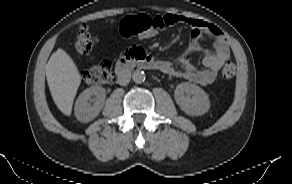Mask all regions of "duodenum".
I'll list each match as a JSON object with an SVG mask.
<instances>
[{"instance_id":"1","label":"duodenum","mask_w":292,"mask_h":184,"mask_svg":"<svg viewBox=\"0 0 292 184\" xmlns=\"http://www.w3.org/2000/svg\"><path fill=\"white\" fill-rule=\"evenodd\" d=\"M153 69L161 72L166 71L165 61L147 54L141 49H131L115 64V72L119 78H123L130 68Z\"/></svg>"}]
</instances>
